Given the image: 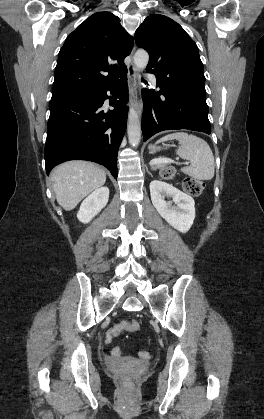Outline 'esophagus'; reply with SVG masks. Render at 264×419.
<instances>
[{
    "label": "esophagus",
    "instance_id": "esophagus-1",
    "mask_svg": "<svg viewBox=\"0 0 264 419\" xmlns=\"http://www.w3.org/2000/svg\"><path fill=\"white\" fill-rule=\"evenodd\" d=\"M136 49V46L134 45L133 50L131 52V57L133 56V53ZM128 86L130 91V97L133 99V103L138 111L139 114L142 112V104L138 99V93L140 90V75L139 72L136 70L134 64L131 62L128 65Z\"/></svg>",
    "mask_w": 264,
    "mask_h": 419
}]
</instances>
